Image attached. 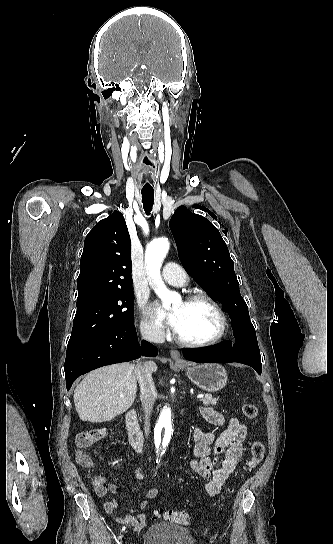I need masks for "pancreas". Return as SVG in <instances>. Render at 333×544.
Here are the masks:
<instances>
[{
	"label": "pancreas",
	"instance_id": "obj_1",
	"mask_svg": "<svg viewBox=\"0 0 333 544\" xmlns=\"http://www.w3.org/2000/svg\"><path fill=\"white\" fill-rule=\"evenodd\" d=\"M201 401L203 405L205 406H215L217 404V399L213 398L211 395L205 394L203 398H201Z\"/></svg>",
	"mask_w": 333,
	"mask_h": 544
}]
</instances>
